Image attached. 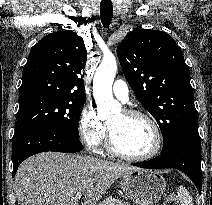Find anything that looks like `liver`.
<instances>
[{
  "mask_svg": "<svg viewBox=\"0 0 212 205\" xmlns=\"http://www.w3.org/2000/svg\"><path fill=\"white\" fill-rule=\"evenodd\" d=\"M137 168L90 156L43 152L25 160L15 176L18 205H77L99 201L117 178Z\"/></svg>",
  "mask_w": 212,
  "mask_h": 205,
  "instance_id": "liver-1",
  "label": "liver"
}]
</instances>
